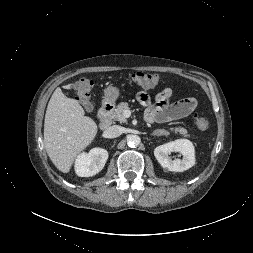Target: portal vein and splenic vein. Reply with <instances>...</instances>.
<instances>
[{
    "instance_id": "portal-vein-and-splenic-vein-1",
    "label": "portal vein and splenic vein",
    "mask_w": 253,
    "mask_h": 253,
    "mask_svg": "<svg viewBox=\"0 0 253 253\" xmlns=\"http://www.w3.org/2000/svg\"><path fill=\"white\" fill-rule=\"evenodd\" d=\"M130 115H131V113H130L129 110H126V111L124 112V116H125V117H129Z\"/></svg>"
}]
</instances>
